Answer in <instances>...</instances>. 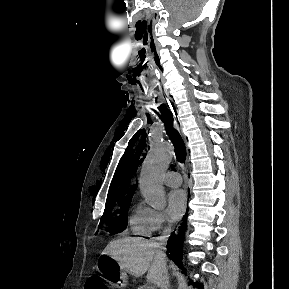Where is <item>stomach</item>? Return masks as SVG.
<instances>
[{
  "label": "stomach",
  "instance_id": "obj_1",
  "mask_svg": "<svg viewBox=\"0 0 289 289\" xmlns=\"http://www.w3.org/2000/svg\"><path fill=\"white\" fill-rule=\"evenodd\" d=\"M96 269L98 272L111 280L115 286L124 287L127 284V274L122 270L118 262L109 255H101L97 261Z\"/></svg>",
  "mask_w": 289,
  "mask_h": 289
}]
</instances>
